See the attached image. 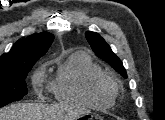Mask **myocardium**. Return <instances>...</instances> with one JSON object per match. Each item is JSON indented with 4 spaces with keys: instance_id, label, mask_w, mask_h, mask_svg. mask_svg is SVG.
<instances>
[{
    "instance_id": "myocardium-1",
    "label": "myocardium",
    "mask_w": 165,
    "mask_h": 120,
    "mask_svg": "<svg viewBox=\"0 0 165 120\" xmlns=\"http://www.w3.org/2000/svg\"><path fill=\"white\" fill-rule=\"evenodd\" d=\"M100 84L107 87V88H110L112 90H115L117 92V88H118V85L117 83L115 82V80L107 75H105V77H103L101 80H100Z\"/></svg>"
}]
</instances>
